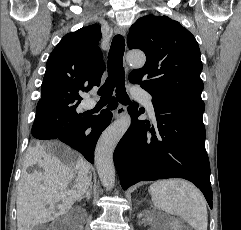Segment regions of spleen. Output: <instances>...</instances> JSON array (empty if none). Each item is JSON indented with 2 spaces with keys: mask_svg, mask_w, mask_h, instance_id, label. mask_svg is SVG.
Instances as JSON below:
<instances>
[{
  "mask_svg": "<svg viewBox=\"0 0 241 230\" xmlns=\"http://www.w3.org/2000/svg\"><path fill=\"white\" fill-rule=\"evenodd\" d=\"M149 192L156 208L182 217L195 230H207L205 198L191 183L179 179L156 181Z\"/></svg>",
  "mask_w": 241,
  "mask_h": 230,
  "instance_id": "obj_1",
  "label": "spleen"
}]
</instances>
